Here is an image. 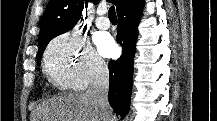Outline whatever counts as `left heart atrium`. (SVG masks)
Wrapping results in <instances>:
<instances>
[{
    "label": "left heart atrium",
    "mask_w": 217,
    "mask_h": 121,
    "mask_svg": "<svg viewBox=\"0 0 217 121\" xmlns=\"http://www.w3.org/2000/svg\"><path fill=\"white\" fill-rule=\"evenodd\" d=\"M100 50L103 54L107 56H112L117 51V46L113 42V40L110 37H106L101 43H100Z\"/></svg>",
    "instance_id": "39dd6f15"
}]
</instances>
